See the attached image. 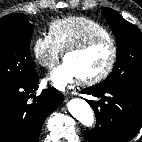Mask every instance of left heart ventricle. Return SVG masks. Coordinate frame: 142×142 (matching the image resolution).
Returning <instances> with one entry per match:
<instances>
[{
  "mask_svg": "<svg viewBox=\"0 0 142 142\" xmlns=\"http://www.w3.org/2000/svg\"><path fill=\"white\" fill-rule=\"evenodd\" d=\"M112 53L109 42H97L88 49L66 56L80 78L93 76L101 72L108 64Z\"/></svg>",
  "mask_w": 142,
  "mask_h": 142,
  "instance_id": "obj_1",
  "label": "left heart ventricle"
}]
</instances>
